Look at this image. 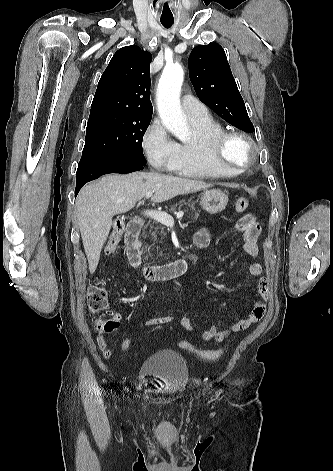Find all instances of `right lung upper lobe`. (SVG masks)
<instances>
[{"label": "right lung upper lobe", "mask_w": 333, "mask_h": 471, "mask_svg": "<svg viewBox=\"0 0 333 471\" xmlns=\"http://www.w3.org/2000/svg\"><path fill=\"white\" fill-rule=\"evenodd\" d=\"M151 61L152 55L135 45L119 49L100 78L89 117L107 113L152 116Z\"/></svg>", "instance_id": "cb5924a9"}]
</instances>
